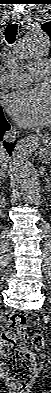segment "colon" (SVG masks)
I'll return each instance as SVG.
<instances>
[{"label":"colon","instance_id":"colon-1","mask_svg":"<svg viewBox=\"0 0 51 393\" xmlns=\"http://www.w3.org/2000/svg\"><path fill=\"white\" fill-rule=\"evenodd\" d=\"M26 326V315L13 313L1 333L2 371L19 393H26L36 371L35 357L25 346ZM31 342L36 350L45 346L42 334L33 335Z\"/></svg>","mask_w":51,"mask_h":393}]
</instances>
